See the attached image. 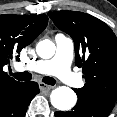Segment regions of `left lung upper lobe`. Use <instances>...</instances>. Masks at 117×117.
Wrapping results in <instances>:
<instances>
[{"mask_svg": "<svg viewBox=\"0 0 117 117\" xmlns=\"http://www.w3.org/2000/svg\"><path fill=\"white\" fill-rule=\"evenodd\" d=\"M55 25L69 34L75 46V64L82 67L85 85L74 89L85 97L117 100V37L101 20L78 11L48 14Z\"/></svg>", "mask_w": 117, "mask_h": 117, "instance_id": "1", "label": "left lung upper lobe"}]
</instances>
